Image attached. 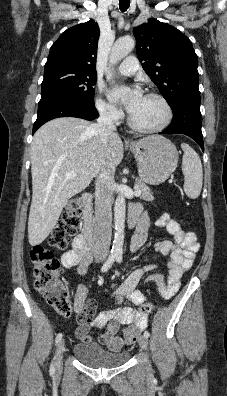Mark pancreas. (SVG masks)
I'll use <instances>...</instances> for the list:
<instances>
[{"label":"pancreas","mask_w":227,"mask_h":396,"mask_svg":"<svg viewBox=\"0 0 227 396\" xmlns=\"http://www.w3.org/2000/svg\"><path fill=\"white\" fill-rule=\"evenodd\" d=\"M135 186L141 190L140 198L145 201H152L154 199L151 190L144 182L137 180Z\"/></svg>","instance_id":"1"}]
</instances>
